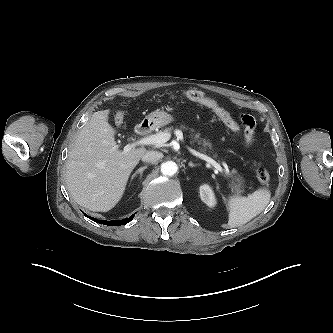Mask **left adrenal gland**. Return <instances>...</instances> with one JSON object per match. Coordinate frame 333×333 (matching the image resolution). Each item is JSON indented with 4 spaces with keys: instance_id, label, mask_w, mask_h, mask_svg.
<instances>
[{
    "instance_id": "1",
    "label": "left adrenal gland",
    "mask_w": 333,
    "mask_h": 333,
    "mask_svg": "<svg viewBox=\"0 0 333 333\" xmlns=\"http://www.w3.org/2000/svg\"><path fill=\"white\" fill-rule=\"evenodd\" d=\"M188 165H189L190 167H192V168H193V167H197V166H199V164H195V163H193V162H191V161L188 163Z\"/></svg>"
}]
</instances>
